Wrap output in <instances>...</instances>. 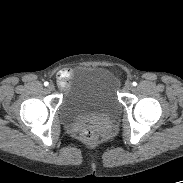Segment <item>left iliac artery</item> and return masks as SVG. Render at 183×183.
Masks as SVG:
<instances>
[{"label":"left iliac artery","instance_id":"44dca946","mask_svg":"<svg viewBox=\"0 0 183 183\" xmlns=\"http://www.w3.org/2000/svg\"><path fill=\"white\" fill-rule=\"evenodd\" d=\"M132 85H133V86H136V85H137V83H136V82H133V83H132Z\"/></svg>","mask_w":183,"mask_h":183}]
</instances>
